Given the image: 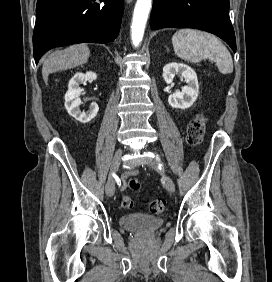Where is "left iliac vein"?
I'll list each match as a JSON object with an SVG mask.
<instances>
[{
  "label": "left iliac vein",
  "mask_w": 272,
  "mask_h": 282,
  "mask_svg": "<svg viewBox=\"0 0 272 282\" xmlns=\"http://www.w3.org/2000/svg\"><path fill=\"white\" fill-rule=\"evenodd\" d=\"M152 167H155L165 178V187L169 192L175 191V184L173 180L165 174L164 165L159 157H156V162L154 164H149Z\"/></svg>",
  "instance_id": "4c4485c4"
}]
</instances>
